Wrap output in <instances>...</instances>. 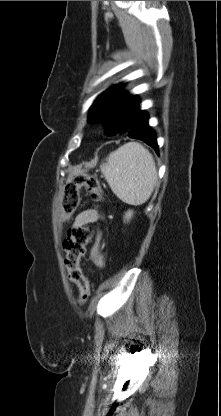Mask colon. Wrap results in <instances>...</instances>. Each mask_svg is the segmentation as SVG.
Here are the masks:
<instances>
[{"mask_svg": "<svg viewBox=\"0 0 221 416\" xmlns=\"http://www.w3.org/2000/svg\"><path fill=\"white\" fill-rule=\"evenodd\" d=\"M86 187L94 201L102 199V190L96 178L84 174L75 175L63 189L61 199V213L63 220H69L75 213L79 203V189ZM93 237V230L86 225L74 226L67 234L63 242L65 251V267L69 279L78 287V303L83 305L90 295V285L87 276L81 266V260L85 256L87 246Z\"/></svg>", "mask_w": 221, "mask_h": 416, "instance_id": "colon-1", "label": "colon"}]
</instances>
